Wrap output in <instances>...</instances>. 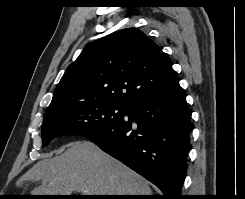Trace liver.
I'll return each instance as SVG.
<instances>
[{"label": "liver", "mask_w": 245, "mask_h": 199, "mask_svg": "<svg viewBox=\"0 0 245 199\" xmlns=\"http://www.w3.org/2000/svg\"><path fill=\"white\" fill-rule=\"evenodd\" d=\"M41 181L31 195H151L147 181L90 141H76L54 158L37 162L18 181Z\"/></svg>", "instance_id": "6515ba94"}]
</instances>
